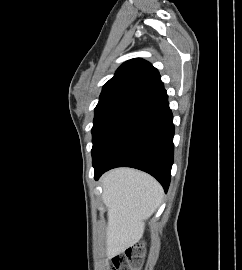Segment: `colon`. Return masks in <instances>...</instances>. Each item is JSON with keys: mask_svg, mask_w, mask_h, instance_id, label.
<instances>
[{"mask_svg": "<svg viewBox=\"0 0 242 270\" xmlns=\"http://www.w3.org/2000/svg\"><path fill=\"white\" fill-rule=\"evenodd\" d=\"M143 261V248L137 245L128 248L124 255H117L112 259L110 270H140Z\"/></svg>", "mask_w": 242, "mask_h": 270, "instance_id": "1", "label": "colon"}]
</instances>
